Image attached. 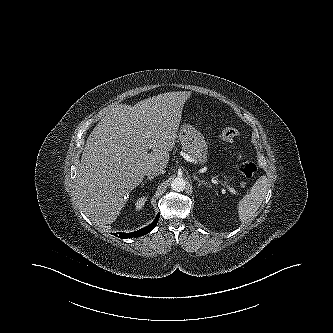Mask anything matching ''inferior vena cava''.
Wrapping results in <instances>:
<instances>
[{"instance_id":"1","label":"inferior vena cava","mask_w":333,"mask_h":333,"mask_svg":"<svg viewBox=\"0 0 333 333\" xmlns=\"http://www.w3.org/2000/svg\"><path fill=\"white\" fill-rule=\"evenodd\" d=\"M164 169L159 166H152L147 170V175L148 176H156L159 174H164Z\"/></svg>"}]
</instances>
